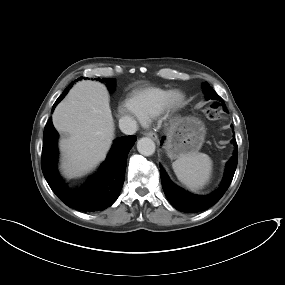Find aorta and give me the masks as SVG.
I'll return each instance as SVG.
<instances>
[{
	"instance_id": "762f6f07",
	"label": "aorta",
	"mask_w": 285,
	"mask_h": 285,
	"mask_svg": "<svg viewBox=\"0 0 285 285\" xmlns=\"http://www.w3.org/2000/svg\"><path fill=\"white\" fill-rule=\"evenodd\" d=\"M155 143L151 138L143 137L137 142V150L144 156H151L155 152Z\"/></svg>"
}]
</instances>
